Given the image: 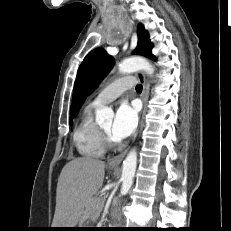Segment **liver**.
<instances>
[{
	"mask_svg": "<svg viewBox=\"0 0 231 231\" xmlns=\"http://www.w3.org/2000/svg\"><path fill=\"white\" fill-rule=\"evenodd\" d=\"M105 163L80 157L68 162L61 171L56 190L52 228H74L91 216V200L101 188Z\"/></svg>",
	"mask_w": 231,
	"mask_h": 231,
	"instance_id": "6515ba94",
	"label": "liver"
}]
</instances>
